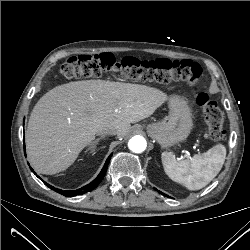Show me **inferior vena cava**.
<instances>
[{
    "mask_svg": "<svg viewBox=\"0 0 250 250\" xmlns=\"http://www.w3.org/2000/svg\"><path fill=\"white\" fill-rule=\"evenodd\" d=\"M97 134L101 136L114 135L116 134V130L114 128H108V129L98 131Z\"/></svg>",
    "mask_w": 250,
    "mask_h": 250,
    "instance_id": "inferior-vena-cava-1",
    "label": "inferior vena cava"
}]
</instances>
